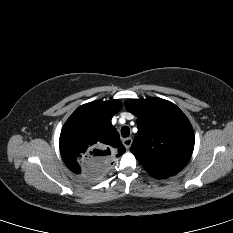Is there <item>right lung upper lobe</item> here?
Segmentation results:
<instances>
[{"mask_svg":"<svg viewBox=\"0 0 233 233\" xmlns=\"http://www.w3.org/2000/svg\"><path fill=\"white\" fill-rule=\"evenodd\" d=\"M121 108L119 100L93 101L78 107L60 135V153L67 167L97 179L113 169L125 152L111 119Z\"/></svg>","mask_w":233,"mask_h":233,"instance_id":"obj_1","label":"right lung upper lobe"}]
</instances>
